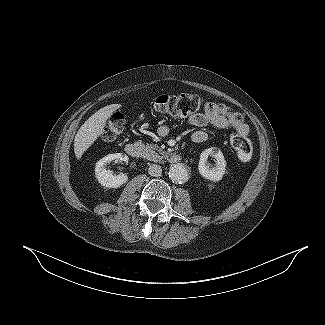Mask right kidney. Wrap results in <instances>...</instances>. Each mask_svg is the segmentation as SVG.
Here are the masks:
<instances>
[{
	"label": "right kidney",
	"instance_id": "obj_1",
	"mask_svg": "<svg viewBox=\"0 0 325 325\" xmlns=\"http://www.w3.org/2000/svg\"><path fill=\"white\" fill-rule=\"evenodd\" d=\"M116 159L128 163V156L122 153L109 154L96 163L95 175L98 182L104 187L118 188L128 181L125 174L113 175L112 171L106 170L105 165Z\"/></svg>",
	"mask_w": 325,
	"mask_h": 325
}]
</instances>
